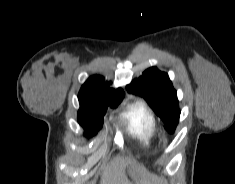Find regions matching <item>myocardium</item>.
I'll return each mask as SVG.
<instances>
[{"label": "myocardium", "mask_w": 235, "mask_h": 184, "mask_svg": "<svg viewBox=\"0 0 235 184\" xmlns=\"http://www.w3.org/2000/svg\"><path fill=\"white\" fill-rule=\"evenodd\" d=\"M160 142L162 145L166 146L169 142V137L166 134L160 136Z\"/></svg>", "instance_id": "f54148a6"}]
</instances>
